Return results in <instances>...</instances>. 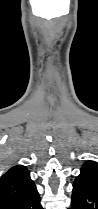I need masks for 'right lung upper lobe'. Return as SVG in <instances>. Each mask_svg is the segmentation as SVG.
Returning a JSON list of instances; mask_svg holds the SVG:
<instances>
[{
  "mask_svg": "<svg viewBox=\"0 0 98 209\" xmlns=\"http://www.w3.org/2000/svg\"><path fill=\"white\" fill-rule=\"evenodd\" d=\"M35 187L23 165L11 167L0 178V209H7Z\"/></svg>",
  "mask_w": 98,
  "mask_h": 209,
  "instance_id": "right-lung-upper-lobe-1",
  "label": "right lung upper lobe"
}]
</instances>
